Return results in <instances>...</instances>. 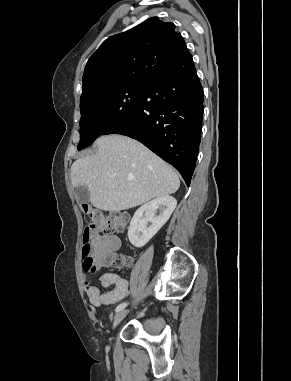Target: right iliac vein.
<instances>
[{"instance_id":"obj_1","label":"right iliac vein","mask_w":291,"mask_h":381,"mask_svg":"<svg viewBox=\"0 0 291 381\" xmlns=\"http://www.w3.org/2000/svg\"><path fill=\"white\" fill-rule=\"evenodd\" d=\"M128 314V310L125 309V310H121L119 311L115 317H114V321H113V325H112V329H115L119 323L125 318V316Z\"/></svg>"}]
</instances>
